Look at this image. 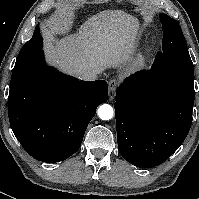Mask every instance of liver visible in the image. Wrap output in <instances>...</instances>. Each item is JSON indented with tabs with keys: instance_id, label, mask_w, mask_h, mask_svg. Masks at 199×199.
I'll return each mask as SVG.
<instances>
[{
	"instance_id": "obj_1",
	"label": "liver",
	"mask_w": 199,
	"mask_h": 199,
	"mask_svg": "<svg viewBox=\"0 0 199 199\" xmlns=\"http://www.w3.org/2000/svg\"><path fill=\"white\" fill-rule=\"evenodd\" d=\"M138 21L121 10L90 17L78 33L61 39L50 35L45 50L50 63L79 76L86 68L101 69L126 62L134 53Z\"/></svg>"
}]
</instances>
